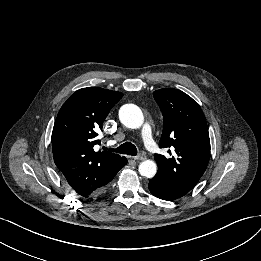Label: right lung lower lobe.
I'll use <instances>...</instances> for the list:
<instances>
[{"instance_id": "1", "label": "right lung lower lobe", "mask_w": 261, "mask_h": 261, "mask_svg": "<svg viewBox=\"0 0 261 261\" xmlns=\"http://www.w3.org/2000/svg\"><path fill=\"white\" fill-rule=\"evenodd\" d=\"M126 163H127V159H126L125 162H123V163L121 164V166L119 167V169L117 170V172H118L123 166H125ZM117 172L115 173V175L117 174ZM115 175H114V176H115ZM113 178H114V177H113ZM113 178H112V179H113ZM104 189H105V187H104L101 191H99L97 194L101 193ZM97 194H96V195H97Z\"/></svg>"}]
</instances>
